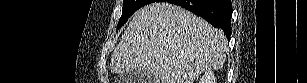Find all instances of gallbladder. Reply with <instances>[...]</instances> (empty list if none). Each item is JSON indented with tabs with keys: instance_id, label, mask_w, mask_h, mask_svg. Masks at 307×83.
Wrapping results in <instances>:
<instances>
[{
	"instance_id": "1",
	"label": "gallbladder",
	"mask_w": 307,
	"mask_h": 83,
	"mask_svg": "<svg viewBox=\"0 0 307 83\" xmlns=\"http://www.w3.org/2000/svg\"><path fill=\"white\" fill-rule=\"evenodd\" d=\"M153 75L145 69H135L118 78L119 83H151Z\"/></svg>"
}]
</instances>
